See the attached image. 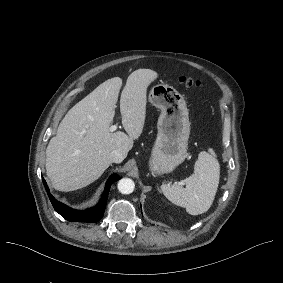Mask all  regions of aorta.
Instances as JSON below:
<instances>
[{
    "label": "aorta",
    "instance_id": "aorta-1",
    "mask_svg": "<svg viewBox=\"0 0 283 283\" xmlns=\"http://www.w3.org/2000/svg\"><path fill=\"white\" fill-rule=\"evenodd\" d=\"M135 184L134 181L130 178H122L118 182V190L122 194H130L134 191Z\"/></svg>",
    "mask_w": 283,
    "mask_h": 283
}]
</instances>
